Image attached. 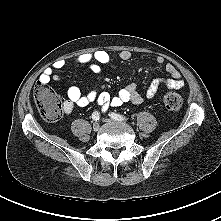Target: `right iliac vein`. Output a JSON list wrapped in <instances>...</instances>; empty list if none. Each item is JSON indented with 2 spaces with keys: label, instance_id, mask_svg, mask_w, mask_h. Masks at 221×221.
Here are the masks:
<instances>
[{
  "label": "right iliac vein",
  "instance_id": "1",
  "mask_svg": "<svg viewBox=\"0 0 221 221\" xmlns=\"http://www.w3.org/2000/svg\"><path fill=\"white\" fill-rule=\"evenodd\" d=\"M100 129V123L99 122H94L93 123V130L98 131Z\"/></svg>",
  "mask_w": 221,
  "mask_h": 221
}]
</instances>
